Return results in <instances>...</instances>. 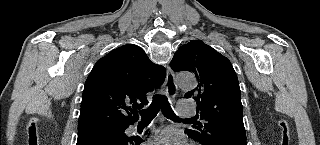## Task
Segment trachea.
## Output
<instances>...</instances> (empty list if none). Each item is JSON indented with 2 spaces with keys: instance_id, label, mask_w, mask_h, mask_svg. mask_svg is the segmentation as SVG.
I'll list each match as a JSON object with an SVG mask.
<instances>
[{
  "instance_id": "obj_1",
  "label": "trachea",
  "mask_w": 320,
  "mask_h": 145,
  "mask_svg": "<svg viewBox=\"0 0 320 145\" xmlns=\"http://www.w3.org/2000/svg\"><path fill=\"white\" fill-rule=\"evenodd\" d=\"M160 109L162 110V113L166 118L173 120L180 119L172 110L167 97L165 95L156 94L150 107L140 112V115L142 117L141 121H152L153 118L156 117Z\"/></svg>"
}]
</instances>
